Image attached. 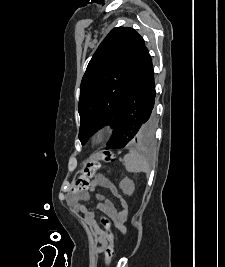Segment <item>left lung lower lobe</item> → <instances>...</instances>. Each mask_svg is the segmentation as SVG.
<instances>
[{
  "label": "left lung lower lobe",
  "instance_id": "left-lung-lower-lobe-1",
  "mask_svg": "<svg viewBox=\"0 0 225 267\" xmlns=\"http://www.w3.org/2000/svg\"><path fill=\"white\" fill-rule=\"evenodd\" d=\"M155 96L152 60L144 47L125 97L118 129L106 149L123 148L132 144L142 124L145 137L155 131Z\"/></svg>",
  "mask_w": 225,
  "mask_h": 267
}]
</instances>
